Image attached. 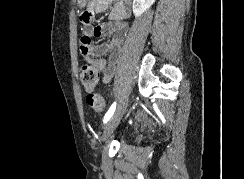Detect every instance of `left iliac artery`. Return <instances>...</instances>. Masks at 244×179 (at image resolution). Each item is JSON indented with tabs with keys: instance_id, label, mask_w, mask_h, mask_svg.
Segmentation results:
<instances>
[{
	"instance_id": "44dca946",
	"label": "left iliac artery",
	"mask_w": 244,
	"mask_h": 179,
	"mask_svg": "<svg viewBox=\"0 0 244 179\" xmlns=\"http://www.w3.org/2000/svg\"><path fill=\"white\" fill-rule=\"evenodd\" d=\"M116 109V102H114L112 104V106L109 108V110L107 111V113L104 116L103 122L107 123L109 121V119L112 117V115L114 114Z\"/></svg>"
}]
</instances>
